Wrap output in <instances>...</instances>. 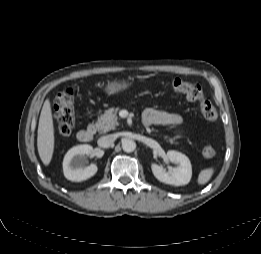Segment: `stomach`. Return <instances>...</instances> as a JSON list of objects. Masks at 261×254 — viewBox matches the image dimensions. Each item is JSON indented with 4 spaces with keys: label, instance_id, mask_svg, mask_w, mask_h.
I'll return each mask as SVG.
<instances>
[{
    "label": "stomach",
    "instance_id": "0dacf381",
    "mask_svg": "<svg viewBox=\"0 0 261 254\" xmlns=\"http://www.w3.org/2000/svg\"><path fill=\"white\" fill-rule=\"evenodd\" d=\"M128 83L125 81H112L108 82V84L105 87V92L109 94H115L118 93L128 87Z\"/></svg>",
    "mask_w": 261,
    "mask_h": 254
}]
</instances>
